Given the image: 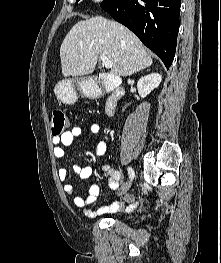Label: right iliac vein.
<instances>
[{
	"label": "right iliac vein",
	"mask_w": 221,
	"mask_h": 263,
	"mask_svg": "<svg viewBox=\"0 0 221 263\" xmlns=\"http://www.w3.org/2000/svg\"><path fill=\"white\" fill-rule=\"evenodd\" d=\"M129 189V184H126L122 189L121 191L119 192V196H121L122 194L126 193L127 190Z\"/></svg>",
	"instance_id": "right-iliac-vein-1"
}]
</instances>
